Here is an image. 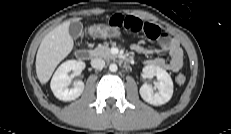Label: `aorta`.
Wrapping results in <instances>:
<instances>
[{
  "instance_id": "1",
  "label": "aorta",
  "mask_w": 231,
  "mask_h": 134,
  "mask_svg": "<svg viewBox=\"0 0 231 134\" xmlns=\"http://www.w3.org/2000/svg\"><path fill=\"white\" fill-rule=\"evenodd\" d=\"M109 70H110L111 72H116V71L118 70V67H117V65H116L115 63H112V64H110V66H109Z\"/></svg>"
}]
</instances>
